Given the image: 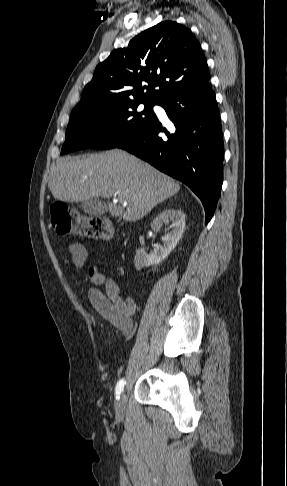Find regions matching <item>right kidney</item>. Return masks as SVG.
<instances>
[{
    "mask_svg": "<svg viewBox=\"0 0 287 486\" xmlns=\"http://www.w3.org/2000/svg\"><path fill=\"white\" fill-rule=\"evenodd\" d=\"M169 222L172 223V230L162 237L163 245H158L150 255H147L143 248L137 250L134 265L138 271L143 267L159 264L176 247L185 228V214L183 211L179 209H166L162 211L152 221L151 228L154 231H158L163 223L167 224Z\"/></svg>",
    "mask_w": 287,
    "mask_h": 486,
    "instance_id": "obj_1",
    "label": "right kidney"
}]
</instances>
